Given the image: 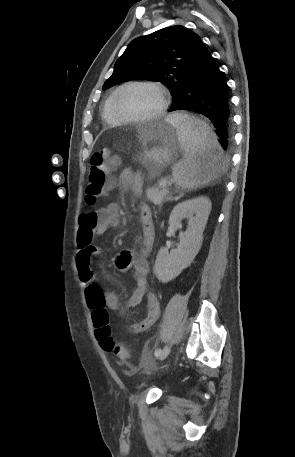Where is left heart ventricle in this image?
<instances>
[{
    "label": "left heart ventricle",
    "mask_w": 295,
    "mask_h": 457,
    "mask_svg": "<svg viewBox=\"0 0 295 457\" xmlns=\"http://www.w3.org/2000/svg\"><path fill=\"white\" fill-rule=\"evenodd\" d=\"M160 103L156 88L137 85L123 89L117 97L116 106L124 116L144 117L156 112Z\"/></svg>",
    "instance_id": "1"
}]
</instances>
